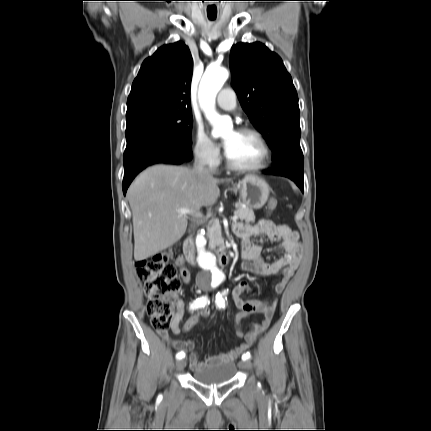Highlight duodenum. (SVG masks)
Instances as JSON below:
<instances>
[{"label":"duodenum","instance_id":"obj_1","mask_svg":"<svg viewBox=\"0 0 431 431\" xmlns=\"http://www.w3.org/2000/svg\"><path fill=\"white\" fill-rule=\"evenodd\" d=\"M183 250L186 260L193 265L195 263V249L194 242L191 237H188L185 240ZM217 260L221 266H226L229 263V256L225 248H220L217 251Z\"/></svg>","mask_w":431,"mask_h":431}]
</instances>
